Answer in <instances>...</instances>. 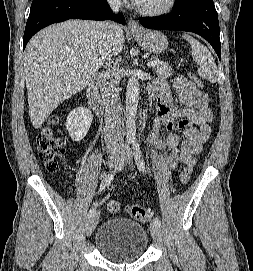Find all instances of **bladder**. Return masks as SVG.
<instances>
[{"label": "bladder", "mask_w": 253, "mask_h": 271, "mask_svg": "<svg viewBox=\"0 0 253 271\" xmlns=\"http://www.w3.org/2000/svg\"><path fill=\"white\" fill-rule=\"evenodd\" d=\"M148 241L146 229L126 218H113L104 222L95 235L96 249L114 262H128L142 257Z\"/></svg>", "instance_id": "1"}]
</instances>
